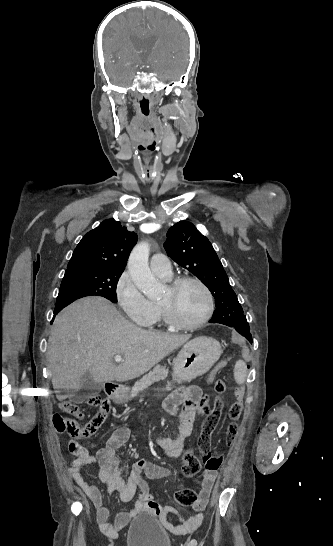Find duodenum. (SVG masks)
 I'll return each mask as SVG.
<instances>
[{
  "label": "duodenum",
  "instance_id": "1",
  "mask_svg": "<svg viewBox=\"0 0 333 546\" xmlns=\"http://www.w3.org/2000/svg\"><path fill=\"white\" fill-rule=\"evenodd\" d=\"M107 393L111 399H118V397L121 394V389L118 385L115 384H108L107 385Z\"/></svg>",
  "mask_w": 333,
  "mask_h": 546
}]
</instances>
